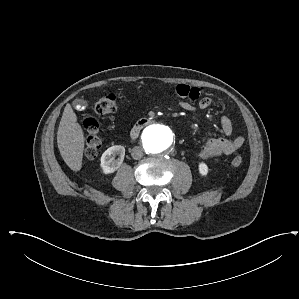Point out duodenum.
<instances>
[{
  "instance_id": "410a0bca",
  "label": "duodenum",
  "mask_w": 299,
  "mask_h": 299,
  "mask_svg": "<svg viewBox=\"0 0 299 299\" xmlns=\"http://www.w3.org/2000/svg\"><path fill=\"white\" fill-rule=\"evenodd\" d=\"M153 120V118H150V117H144V118H141L139 119L133 126V128L131 129V133H130V138L131 140H135L140 131L146 126L148 125L149 123H151Z\"/></svg>"
}]
</instances>
